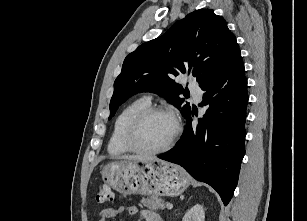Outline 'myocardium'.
I'll return each instance as SVG.
<instances>
[{"instance_id":"f54148a6","label":"myocardium","mask_w":307,"mask_h":221,"mask_svg":"<svg viewBox=\"0 0 307 221\" xmlns=\"http://www.w3.org/2000/svg\"><path fill=\"white\" fill-rule=\"evenodd\" d=\"M154 114H165L170 116L175 122V129L172 136L169 140L161 147L156 149H145L138 145L136 142L137 132L143 123V121L151 115ZM181 131V126L175 117V115L168 109L157 106H148L141 111H139L127 125L125 134H124V143L129 151L141 154V155H157L168 151L174 143L176 142Z\"/></svg>"}]
</instances>
